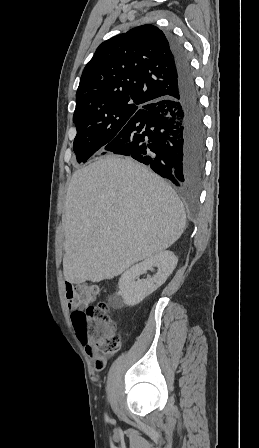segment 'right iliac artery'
<instances>
[{"label":"right iliac artery","mask_w":259,"mask_h":448,"mask_svg":"<svg viewBox=\"0 0 259 448\" xmlns=\"http://www.w3.org/2000/svg\"><path fill=\"white\" fill-rule=\"evenodd\" d=\"M105 418H106V420H108V417H107V415L105 416Z\"/></svg>","instance_id":"82829eb1"}]
</instances>
